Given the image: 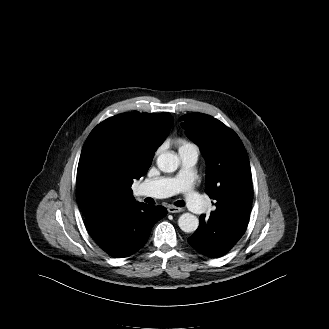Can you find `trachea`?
Here are the masks:
<instances>
[{
	"mask_svg": "<svg viewBox=\"0 0 329 329\" xmlns=\"http://www.w3.org/2000/svg\"><path fill=\"white\" fill-rule=\"evenodd\" d=\"M175 206L177 207H184L185 206V203L183 200H178L174 203Z\"/></svg>",
	"mask_w": 329,
	"mask_h": 329,
	"instance_id": "obj_1",
	"label": "trachea"
}]
</instances>
